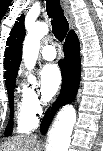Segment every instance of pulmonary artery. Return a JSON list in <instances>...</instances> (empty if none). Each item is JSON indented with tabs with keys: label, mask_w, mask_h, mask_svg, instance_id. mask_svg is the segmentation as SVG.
<instances>
[{
	"label": "pulmonary artery",
	"mask_w": 103,
	"mask_h": 151,
	"mask_svg": "<svg viewBox=\"0 0 103 151\" xmlns=\"http://www.w3.org/2000/svg\"><path fill=\"white\" fill-rule=\"evenodd\" d=\"M42 56L47 61H52L56 58V49L53 45H46L42 49Z\"/></svg>",
	"instance_id": "e3ab8cb5"
}]
</instances>
